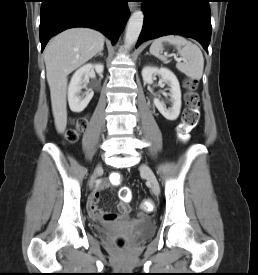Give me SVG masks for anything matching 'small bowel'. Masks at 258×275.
<instances>
[{
	"instance_id": "small-bowel-1",
	"label": "small bowel",
	"mask_w": 258,
	"mask_h": 275,
	"mask_svg": "<svg viewBox=\"0 0 258 275\" xmlns=\"http://www.w3.org/2000/svg\"><path fill=\"white\" fill-rule=\"evenodd\" d=\"M108 186L109 184L106 181H102L98 184L96 191L90 199L89 210L95 217H103L106 220H113L116 219L119 214H127L130 211V206L127 201L122 199L118 205V213L101 211L98 207L99 195L100 192Z\"/></svg>"
}]
</instances>
